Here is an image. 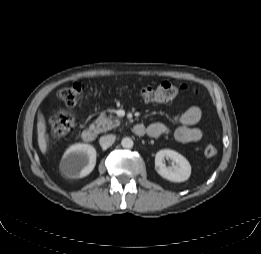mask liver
<instances>
[{
	"instance_id": "6515ba94",
	"label": "liver",
	"mask_w": 261,
	"mask_h": 254,
	"mask_svg": "<svg viewBox=\"0 0 261 254\" xmlns=\"http://www.w3.org/2000/svg\"><path fill=\"white\" fill-rule=\"evenodd\" d=\"M37 130H38V145L43 154L47 151V141L45 138V124L42 120V117H39L38 123H37Z\"/></svg>"
}]
</instances>
